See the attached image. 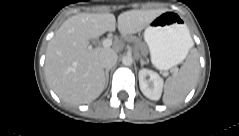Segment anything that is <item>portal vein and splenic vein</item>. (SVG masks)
Returning a JSON list of instances; mask_svg holds the SVG:
<instances>
[{
	"label": "portal vein and splenic vein",
	"mask_w": 239,
	"mask_h": 136,
	"mask_svg": "<svg viewBox=\"0 0 239 136\" xmlns=\"http://www.w3.org/2000/svg\"><path fill=\"white\" fill-rule=\"evenodd\" d=\"M112 43H113L112 39L107 38L103 40L102 45L104 48H109L112 45Z\"/></svg>",
	"instance_id": "portal-vein-and-splenic-vein-1"
}]
</instances>
